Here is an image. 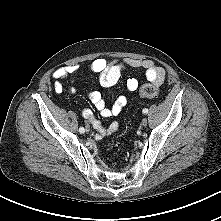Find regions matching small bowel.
<instances>
[{"label":"small bowel","instance_id":"c3829d8e","mask_svg":"<svg viewBox=\"0 0 221 221\" xmlns=\"http://www.w3.org/2000/svg\"><path fill=\"white\" fill-rule=\"evenodd\" d=\"M80 64H71L61 67L54 71L53 78L56 80L54 83V91L62 93L65 88L63 81L72 80L75 75L81 71ZM132 68L136 70H143L147 79L156 84L161 85L166 78L165 70L157 66L152 60H141L134 58H121L114 60H106L104 58H97L86 64V69L99 76V82L103 87H110L118 82L122 72ZM138 88V80L134 77L127 79L126 89L129 93L136 91ZM70 94H74L73 88L69 89ZM89 101L99 111L100 115L104 118L117 116L127 105L128 99L126 95L119 96L111 107L106 106L102 94L99 91H90L88 93ZM83 117L89 121L96 129V139H101L116 132L119 128L118 122L113 121L107 127H104L99 120H97L90 109L82 111Z\"/></svg>","mask_w":221,"mask_h":221}]
</instances>
